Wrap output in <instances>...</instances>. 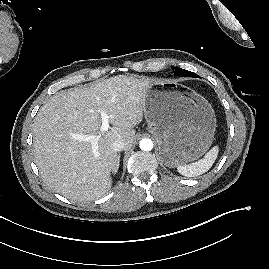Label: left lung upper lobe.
Masks as SVG:
<instances>
[{
	"label": "left lung upper lobe",
	"instance_id": "obj_1",
	"mask_svg": "<svg viewBox=\"0 0 269 269\" xmlns=\"http://www.w3.org/2000/svg\"><path fill=\"white\" fill-rule=\"evenodd\" d=\"M175 75L180 77H199L196 73L181 68H175Z\"/></svg>",
	"mask_w": 269,
	"mask_h": 269
}]
</instances>
